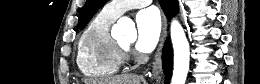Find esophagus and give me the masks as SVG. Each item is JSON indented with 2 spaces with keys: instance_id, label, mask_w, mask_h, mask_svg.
Returning a JSON list of instances; mask_svg holds the SVG:
<instances>
[{
  "instance_id": "obj_1",
  "label": "esophagus",
  "mask_w": 260,
  "mask_h": 84,
  "mask_svg": "<svg viewBox=\"0 0 260 84\" xmlns=\"http://www.w3.org/2000/svg\"><path fill=\"white\" fill-rule=\"evenodd\" d=\"M167 37V20L165 14L162 12V31L160 37V43L155 54L154 64L152 67V76L156 81H159L162 77V48Z\"/></svg>"
}]
</instances>
